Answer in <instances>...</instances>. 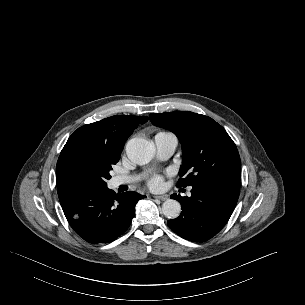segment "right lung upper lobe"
I'll return each instance as SVG.
<instances>
[{"label": "right lung upper lobe", "mask_w": 305, "mask_h": 305, "mask_svg": "<svg viewBox=\"0 0 305 305\" xmlns=\"http://www.w3.org/2000/svg\"><path fill=\"white\" fill-rule=\"evenodd\" d=\"M146 116L115 115L78 128L69 139L84 137L98 142L113 153L121 154L125 141ZM59 188V187H58Z\"/></svg>", "instance_id": "obj_1"}]
</instances>
